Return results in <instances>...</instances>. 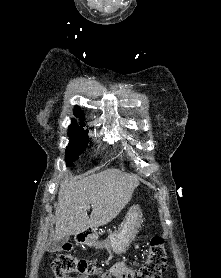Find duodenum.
<instances>
[{"instance_id": "duodenum-1", "label": "duodenum", "mask_w": 221, "mask_h": 278, "mask_svg": "<svg viewBox=\"0 0 221 278\" xmlns=\"http://www.w3.org/2000/svg\"><path fill=\"white\" fill-rule=\"evenodd\" d=\"M92 234H93L92 229L86 228L84 231L78 234L77 240L79 241V243L83 244L92 237Z\"/></svg>"}]
</instances>
